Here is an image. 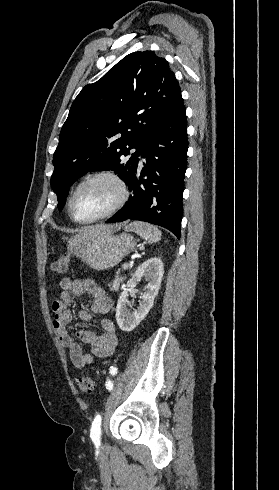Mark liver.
<instances>
[{
    "instance_id": "1",
    "label": "liver",
    "mask_w": 279,
    "mask_h": 490,
    "mask_svg": "<svg viewBox=\"0 0 279 490\" xmlns=\"http://www.w3.org/2000/svg\"><path fill=\"white\" fill-rule=\"evenodd\" d=\"M123 224H114V226H88V228H83L80 230V234L73 236L76 242L82 244L85 240H92V238H98V236H105V234H112V232H117L120 230Z\"/></svg>"
}]
</instances>
